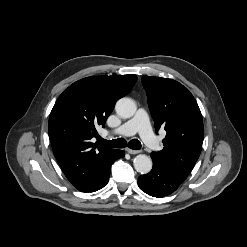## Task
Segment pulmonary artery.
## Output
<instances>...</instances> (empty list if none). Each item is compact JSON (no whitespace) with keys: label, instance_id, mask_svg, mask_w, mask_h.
<instances>
[{"label":"pulmonary artery","instance_id":"1","mask_svg":"<svg viewBox=\"0 0 247 247\" xmlns=\"http://www.w3.org/2000/svg\"><path fill=\"white\" fill-rule=\"evenodd\" d=\"M116 135L130 136L139 133L144 143L152 150L160 148V142L153 134L148 115L143 108H140L135 116L113 131Z\"/></svg>","mask_w":247,"mask_h":247}]
</instances>
